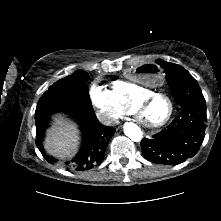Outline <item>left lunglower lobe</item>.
I'll return each instance as SVG.
<instances>
[{
	"mask_svg": "<svg viewBox=\"0 0 221 221\" xmlns=\"http://www.w3.org/2000/svg\"><path fill=\"white\" fill-rule=\"evenodd\" d=\"M206 109L205 101L184 105L180 116L165 130L142 140L145 158L153 163L177 165L193 157L205 137Z\"/></svg>",
	"mask_w": 221,
	"mask_h": 221,
	"instance_id": "obj_1",
	"label": "left lung lower lobe"
}]
</instances>
